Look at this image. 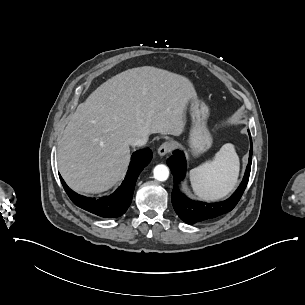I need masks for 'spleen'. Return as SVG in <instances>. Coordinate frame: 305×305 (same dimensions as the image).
<instances>
[{"label":"spleen","instance_id":"3e777b00","mask_svg":"<svg viewBox=\"0 0 305 305\" xmlns=\"http://www.w3.org/2000/svg\"><path fill=\"white\" fill-rule=\"evenodd\" d=\"M239 161L231 144H224L211 158L193 168L191 184L204 199H219L236 184Z\"/></svg>","mask_w":305,"mask_h":305}]
</instances>
